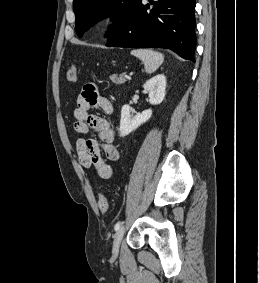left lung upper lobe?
<instances>
[{
    "mask_svg": "<svg viewBox=\"0 0 259 283\" xmlns=\"http://www.w3.org/2000/svg\"><path fill=\"white\" fill-rule=\"evenodd\" d=\"M136 0H74L75 31L79 37L98 20L111 16L115 26L107 36L111 39L125 23Z\"/></svg>",
    "mask_w": 259,
    "mask_h": 283,
    "instance_id": "left-lung-upper-lobe-1",
    "label": "left lung upper lobe"
}]
</instances>
